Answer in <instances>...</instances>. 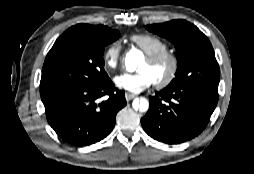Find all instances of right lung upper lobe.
<instances>
[{
    "label": "right lung upper lobe",
    "mask_w": 254,
    "mask_h": 174,
    "mask_svg": "<svg viewBox=\"0 0 254 174\" xmlns=\"http://www.w3.org/2000/svg\"><path fill=\"white\" fill-rule=\"evenodd\" d=\"M71 29H79L91 34H102L110 30V28L104 25H87V24H78L72 26Z\"/></svg>",
    "instance_id": "right-lung-upper-lobe-1"
}]
</instances>
